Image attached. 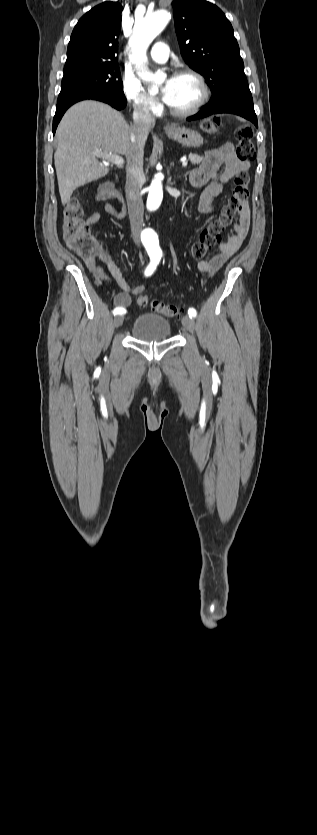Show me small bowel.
I'll return each instance as SVG.
<instances>
[{"mask_svg": "<svg viewBox=\"0 0 317 835\" xmlns=\"http://www.w3.org/2000/svg\"><path fill=\"white\" fill-rule=\"evenodd\" d=\"M249 167V162L242 161L235 155L233 145L230 143H225L217 148L208 150L201 164L189 172V182L191 185L194 187L205 186L199 197V211L203 214L210 213L213 210V199L222 193L233 177L240 172L247 171ZM107 198L109 197L105 190V185H103L98 189L96 199L103 201ZM104 210L113 216H121V213L109 204L104 206ZM99 219L100 213L95 211L88 216L86 223L92 225ZM249 226L250 211L245 206L240 213L238 222L234 225L233 234L228 236L227 240L220 244L219 254L210 259L199 261L197 269L207 275H212L218 271L241 247L248 234ZM85 264L98 285L116 283L121 288L122 291L113 298V302L117 307L126 310L131 304L132 296L141 294L145 289L143 284L134 287L130 286L124 279L117 264L104 248H98L93 257L85 259ZM102 265L106 267L108 272L105 271Z\"/></svg>", "mask_w": 317, "mask_h": 835, "instance_id": "small-bowel-1", "label": "small bowel"}]
</instances>
